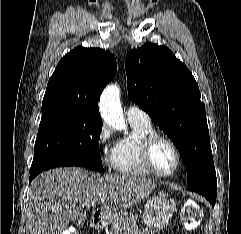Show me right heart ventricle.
I'll return each instance as SVG.
<instances>
[{
    "instance_id": "right-heart-ventricle-1",
    "label": "right heart ventricle",
    "mask_w": 241,
    "mask_h": 234,
    "mask_svg": "<svg viewBox=\"0 0 241 234\" xmlns=\"http://www.w3.org/2000/svg\"><path fill=\"white\" fill-rule=\"evenodd\" d=\"M131 133L118 140L111 154V166L115 172L127 176H149L141 158V145L144 138L154 133L151 123L130 122Z\"/></svg>"
}]
</instances>
